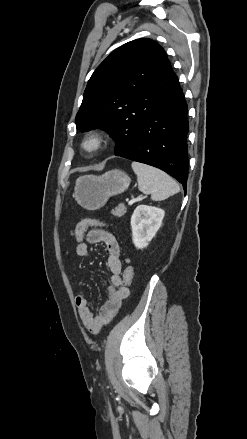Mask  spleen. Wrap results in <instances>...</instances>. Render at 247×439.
Here are the masks:
<instances>
[{
	"instance_id": "obj_1",
	"label": "spleen",
	"mask_w": 247,
	"mask_h": 439,
	"mask_svg": "<svg viewBox=\"0 0 247 439\" xmlns=\"http://www.w3.org/2000/svg\"><path fill=\"white\" fill-rule=\"evenodd\" d=\"M137 175L138 189L150 194L152 200L162 201L179 192V185L164 171L139 162H132Z\"/></svg>"
}]
</instances>
